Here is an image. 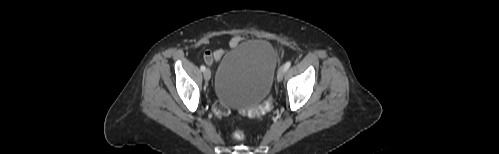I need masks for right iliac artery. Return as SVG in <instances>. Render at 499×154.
<instances>
[{
    "label": "right iliac artery",
    "instance_id": "right-iliac-artery-1",
    "mask_svg": "<svg viewBox=\"0 0 499 154\" xmlns=\"http://www.w3.org/2000/svg\"><path fill=\"white\" fill-rule=\"evenodd\" d=\"M200 69H201V71H205V69H206V68H205V66H204V65H201V66H200Z\"/></svg>",
    "mask_w": 499,
    "mask_h": 154
}]
</instances>
